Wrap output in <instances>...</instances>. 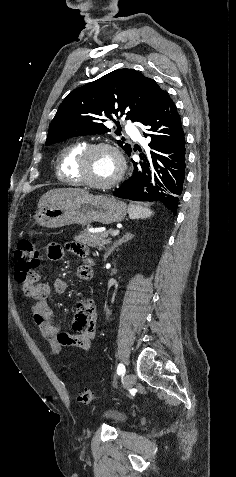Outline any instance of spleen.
Here are the masks:
<instances>
[{
	"mask_svg": "<svg viewBox=\"0 0 236 477\" xmlns=\"http://www.w3.org/2000/svg\"><path fill=\"white\" fill-rule=\"evenodd\" d=\"M128 213H129L130 219L132 220L146 219V218H150L153 215V211H151L149 208L132 204V203L129 204Z\"/></svg>",
	"mask_w": 236,
	"mask_h": 477,
	"instance_id": "obj_1",
	"label": "spleen"
}]
</instances>
